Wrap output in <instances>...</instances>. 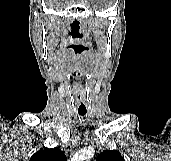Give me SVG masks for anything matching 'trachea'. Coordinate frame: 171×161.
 Returning a JSON list of instances; mask_svg holds the SVG:
<instances>
[{
  "mask_svg": "<svg viewBox=\"0 0 171 161\" xmlns=\"http://www.w3.org/2000/svg\"><path fill=\"white\" fill-rule=\"evenodd\" d=\"M79 114H80L81 116H84L86 113H84V112H79Z\"/></svg>",
  "mask_w": 171,
  "mask_h": 161,
  "instance_id": "3493384b",
  "label": "trachea"
}]
</instances>
